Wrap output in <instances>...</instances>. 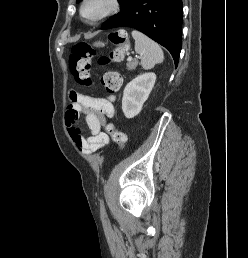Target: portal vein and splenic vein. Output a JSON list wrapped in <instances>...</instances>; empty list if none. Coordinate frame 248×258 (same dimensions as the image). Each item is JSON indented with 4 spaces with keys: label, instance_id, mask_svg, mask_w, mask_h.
Returning <instances> with one entry per match:
<instances>
[{
    "label": "portal vein and splenic vein",
    "instance_id": "18ae733b",
    "mask_svg": "<svg viewBox=\"0 0 248 258\" xmlns=\"http://www.w3.org/2000/svg\"><path fill=\"white\" fill-rule=\"evenodd\" d=\"M138 58H140V57H138ZM132 60V57L131 56H129L128 57V61H131Z\"/></svg>",
    "mask_w": 248,
    "mask_h": 258
}]
</instances>
